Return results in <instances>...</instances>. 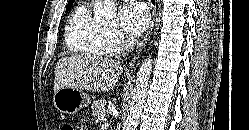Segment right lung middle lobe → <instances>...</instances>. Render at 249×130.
Segmentation results:
<instances>
[{
    "instance_id": "dd1d6c3e",
    "label": "right lung middle lobe",
    "mask_w": 249,
    "mask_h": 130,
    "mask_svg": "<svg viewBox=\"0 0 249 130\" xmlns=\"http://www.w3.org/2000/svg\"><path fill=\"white\" fill-rule=\"evenodd\" d=\"M72 6V4H70V5H67V8H66V10H68L70 7Z\"/></svg>"
}]
</instances>
